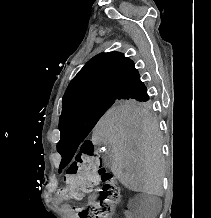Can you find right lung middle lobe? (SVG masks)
Listing matches in <instances>:
<instances>
[{
	"label": "right lung middle lobe",
	"instance_id": "right-lung-middle-lobe-1",
	"mask_svg": "<svg viewBox=\"0 0 211 218\" xmlns=\"http://www.w3.org/2000/svg\"><path fill=\"white\" fill-rule=\"evenodd\" d=\"M150 98L105 97L81 102L62 112L59 143L79 145L108 109H150Z\"/></svg>",
	"mask_w": 211,
	"mask_h": 218
}]
</instances>
